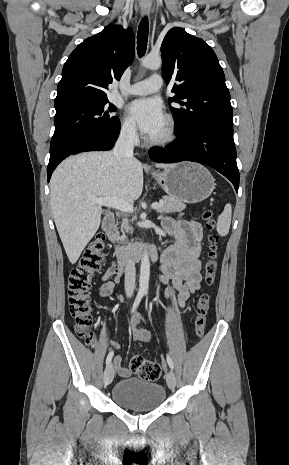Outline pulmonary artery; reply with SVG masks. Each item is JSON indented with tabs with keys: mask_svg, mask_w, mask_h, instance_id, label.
Masks as SVG:
<instances>
[{
	"mask_svg": "<svg viewBox=\"0 0 289 465\" xmlns=\"http://www.w3.org/2000/svg\"><path fill=\"white\" fill-rule=\"evenodd\" d=\"M163 87V79L160 75L154 74L149 78L137 82L130 86L127 94L130 95H146L159 91Z\"/></svg>",
	"mask_w": 289,
	"mask_h": 465,
	"instance_id": "1",
	"label": "pulmonary artery"
}]
</instances>
